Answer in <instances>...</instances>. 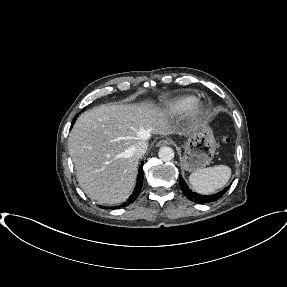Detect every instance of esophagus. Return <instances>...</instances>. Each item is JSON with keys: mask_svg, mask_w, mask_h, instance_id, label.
<instances>
[{"mask_svg": "<svg viewBox=\"0 0 287 287\" xmlns=\"http://www.w3.org/2000/svg\"><path fill=\"white\" fill-rule=\"evenodd\" d=\"M169 144H170L169 139H161L156 143V147H161V146H165V145H169Z\"/></svg>", "mask_w": 287, "mask_h": 287, "instance_id": "34e87169", "label": "esophagus"}]
</instances>
